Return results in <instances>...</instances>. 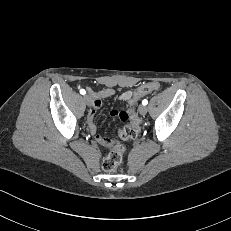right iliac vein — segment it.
<instances>
[{"label":"right iliac vein","mask_w":231,"mask_h":231,"mask_svg":"<svg viewBox=\"0 0 231 231\" xmlns=\"http://www.w3.org/2000/svg\"><path fill=\"white\" fill-rule=\"evenodd\" d=\"M84 100H85L86 104H87L89 107H91V106L93 105V99H92L91 95L86 94V95L84 96Z\"/></svg>","instance_id":"63e3f726"}]
</instances>
